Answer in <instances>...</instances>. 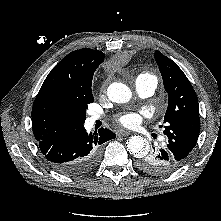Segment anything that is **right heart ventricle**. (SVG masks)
<instances>
[{
    "label": "right heart ventricle",
    "mask_w": 221,
    "mask_h": 221,
    "mask_svg": "<svg viewBox=\"0 0 221 221\" xmlns=\"http://www.w3.org/2000/svg\"><path fill=\"white\" fill-rule=\"evenodd\" d=\"M138 77H151V78H154V76H152V75L149 74V73H142V74H140Z\"/></svg>",
    "instance_id": "right-heart-ventricle-1"
}]
</instances>
